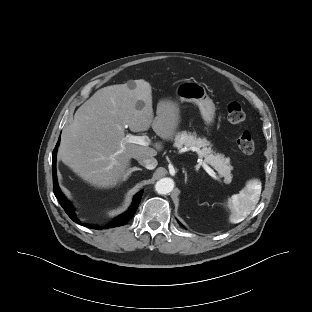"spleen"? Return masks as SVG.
Listing matches in <instances>:
<instances>
[{
    "label": "spleen",
    "instance_id": "3e777b00",
    "mask_svg": "<svg viewBox=\"0 0 312 312\" xmlns=\"http://www.w3.org/2000/svg\"><path fill=\"white\" fill-rule=\"evenodd\" d=\"M261 185L255 181L245 192L241 193L233 202L230 221L239 223L243 221L254 209L259 201Z\"/></svg>",
    "mask_w": 312,
    "mask_h": 312
}]
</instances>
